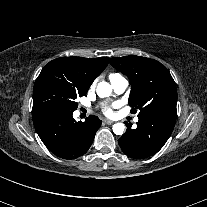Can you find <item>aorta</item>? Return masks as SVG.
I'll return each instance as SVG.
<instances>
[{
	"label": "aorta",
	"instance_id": "obj_1",
	"mask_svg": "<svg viewBox=\"0 0 207 207\" xmlns=\"http://www.w3.org/2000/svg\"><path fill=\"white\" fill-rule=\"evenodd\" d=\"M97 94L99 97H108L111 95L112 87L107 82H100L97 85ZM125 130V125L123 123H116L113 125V132L116 135H122Z\"/></svg>",
	"mask_w": 207,
	"mask_h": 207
}]
</instances>
